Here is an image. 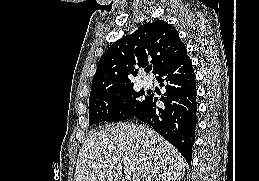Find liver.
Returning <instances> with one entry per match:
<instances>
[{"label": "liver", "mask_w": 259, "mask_h": 181, "mask_svg": "<svg viewBox=\"0 0 259 181\" xmlns=\"http://www.w3.org/2000/svg\"><path fill=\"white\" fill-rule=\"evenodd\" d=\"M132 181H177L186 161L162 136L144 125L119 123L96 130L83 143L74 181H118L122 167Z\"/></svg>", "instance_id": "6515ba94"}]
</instances>
